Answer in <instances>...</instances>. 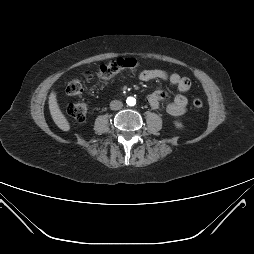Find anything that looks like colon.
<instances>
[{"mask_svg": "<svg viewBox=\"0 0 254 254\" xmlns=\"http://www.w3.org/2000/svg\"><path fill=\"white\" fill-rule=\"evenodd\" d=\"M139 63L132 58L118 59L111 61L99 67L96 76L101 80H109L118 72L124 69H136ZM92 75L91 72H85L84 76H77L69 81L66 87V92L72 96H82L84 91V77ZM194 108L201 109L203 102L200 99H194L192 102ZM88 101L86 98H81L77 102L70 103L67 107L68 114L76 121L82 122L86 119L88 113Z\"/></svg>", "mask_w": 254, "mask_h": 254, "instance_id": "1", "label": "colon"}]
</instances>
